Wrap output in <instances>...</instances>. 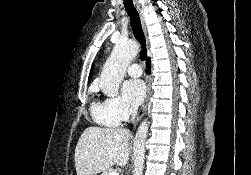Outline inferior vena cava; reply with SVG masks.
<instances>
[{
	"label": "inferior vena cava",
	"mask_w": 251,
	"mask_h": 175,
	"mask_svg": "<svg viewBox=\"0 0 251 175\" xmlns=\"http://www.w3.org/2000/svg\"><path fill=\"white\" fill-rule=\"evenodd\" d=\"M130 115H131L132 121H134L137 115V107H130Z\"/></svg>",
	"instance_id": "1"
}]
</instances>
